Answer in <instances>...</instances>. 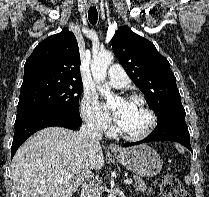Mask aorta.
<instances>
[{"label": "aorta", "instance_id": "aorta-1", "mask_svg": "<svg viewBox=\"0 0 209 197\" xmlns=\"http://www.w3.org/2000/svg\"><path fill=\"white\" fill-rule=\"evenodd\" d=\"M112 60L113 55L110 51H102L99 52L97 55L93 56L91 62V72L96 83H100L105 80L107 68L111 64ZM98 89L102 96L105 97V99H114L113 93L110 91L109 88L100 86L98 87ZM109 197L115 196L110 195Z\"/></svg>", "mask_w": 209, "mask_h": 197}]
</instances>
